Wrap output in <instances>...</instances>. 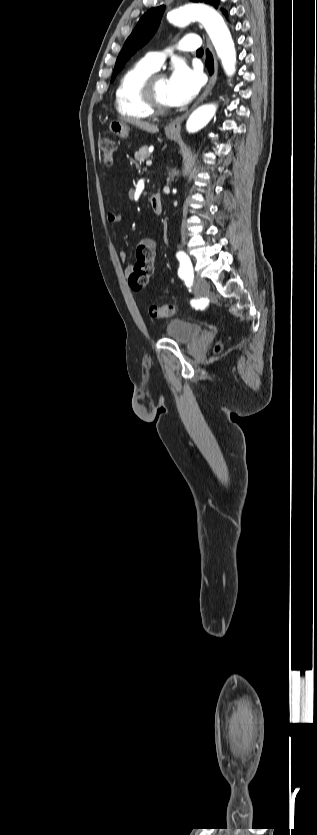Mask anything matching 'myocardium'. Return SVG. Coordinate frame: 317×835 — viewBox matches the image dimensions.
<instances>
[{"instance_id":"f54148a6","label":"myocardium","mask_w":317,"mask_h":835,"mask_svg":"<svg viewBox=\"0 0 317 835\" xmlns=\"http://www.w3.org/2000/svg\"><path fill=\"white\" fill-rule=\"evenodd\" d=\"M161 77V74L154 72L144 81L141 88L142 98L153 114H166L171 111V107L161 103L156 94V82Z\"/></svg>"}]
</instances>
